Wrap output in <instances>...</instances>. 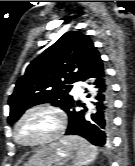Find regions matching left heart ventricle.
<instances>
[{"instance_id": "left-heart-ventricle-1", "label": "left heart ventricle", "mask_w": 135, "mask_h": 166, "mask_svg": "<svg viewBox=\"0 0 135 166\" xmlns=\"http://www.w3.org/2000/svg\"><path fill=\"white\" fill-rule=\"evenodd\" d=\"M56 128V118L49 112H36L28 116L18 127V138L34 142L50 135Z\"/></svg>"}]
</instances>
